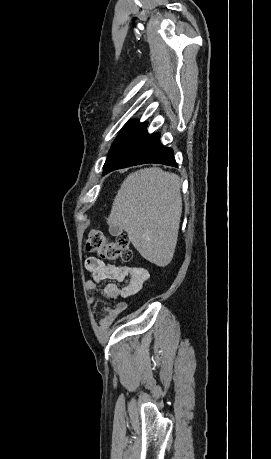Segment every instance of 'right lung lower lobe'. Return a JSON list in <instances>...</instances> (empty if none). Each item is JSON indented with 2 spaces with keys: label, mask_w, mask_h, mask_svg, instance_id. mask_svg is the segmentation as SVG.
I'll list each match as a JSON object with an SVG mask.
<instances>
[{
  "label": "right lung lower lobe",
  "mask_w": 271,
  "mask_h": 459,
  "mask_svg": "<svg viewBox=\"0 0 271 459\" xmlns=\"http://www.w3.org/2000/svg\"><path fill=\"white\" fill-rule=\"evenodd\" d=\"M145 163L177 166L171 148L160 143V134L149 135L146 128L130 141L104 168L103 174Z\"/></svg>",
  "instance_id": "obj_1"
}]
</instances>
